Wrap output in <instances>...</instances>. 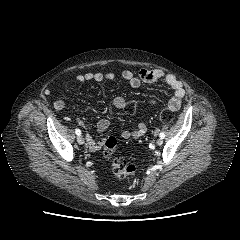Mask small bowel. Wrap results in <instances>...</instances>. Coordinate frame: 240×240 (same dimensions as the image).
Returning <instances> with one entry per match:
<instances>
[{"instance_id": "obj_1", "label": "small bowel", "mask_w": 240, "mask_h": 240, "mask_svg": "<svg viewBox=\"0 0 240 240\" xmlns=\"http://www.w3.org/2000/svg\"><path fill=\"white\" fill-rule=\"evenodd\" d=\"M123 79L127 80L133 88L139 87L143 83H156L159 81L165 82L170 89L173 91L172 97L168 101V108L172 111H177L181 107L182 99L185 96V90L181 81H179L172 74H165L162 70L154 69H141L138 72H133L130 70H124L121 73ZM115 78L113 72H85L82 74H77L75 80L77 82H86V81H112ZM149 105H155L156 100L151 99L148 102ZM113 105L117 109H124L126 107V100L117 96L113 100ZM56 112H62L65 109V103L62 100H57L53 104ZM76 122L83 128H86L84 121L81 118H76ZM98 132H105L110 128V121L107 119H100L96 125ZM147 131L145 122L142 119H139L137 122V127L133 130H124L122 132V137L124 139H139ZM103 141H95L91 136L87 135V147L91 151L99 150L103 146Z\"/></svg>"}]
</instances>
